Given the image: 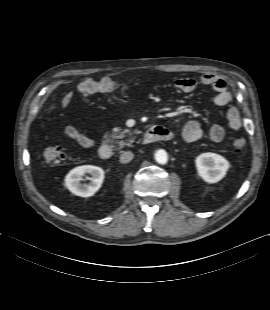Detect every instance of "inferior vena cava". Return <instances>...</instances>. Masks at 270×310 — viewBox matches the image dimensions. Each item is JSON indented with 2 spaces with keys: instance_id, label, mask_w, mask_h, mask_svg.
<instances>
[{
  "instance_id": "1",
  "label": "inferior vena cava",
  "mask_w": 270,
  "mask_h": 310,
  "mask_svg": "<svg viewBox=\"0 0 270 310\" xmlns=\"http://www.w3.org/2000/svg\"><path fill=\"white\" fill-rule=\"evenodd\" d=\"M134 155L131 151L123 152L120 156L121 163H129L133 159Z\"/></svg>"
}]
</instances>
